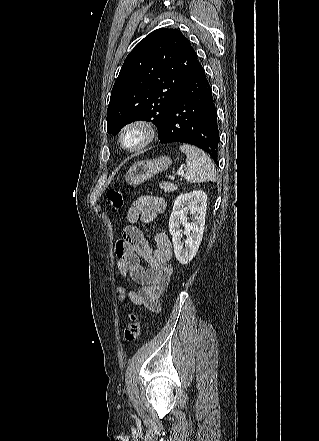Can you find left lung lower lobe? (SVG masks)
Here are the masks:
<instances>
[{"label":"left lung lower lobe","mask_w":319,"mask_h":441,"mask_svg":"<svg viewBox=\"0 0 319 441\" xmlns=\"http://www.w3.org/2000/svg\"><path fill=\"white\" fill-rule=\"evenodd\" d=\"M217 111L201 65L179 91L159 134L161 144L180 142L206 151L217 163L219 144Z\"/></svg>","instance_id":"left-lung-lower-lobe-1"}]
</instances>
